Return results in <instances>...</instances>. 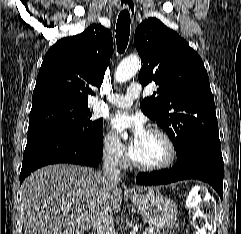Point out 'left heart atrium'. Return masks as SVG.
Returning <instances> with one entry per match:
<instances>
[{"label": "left heart atrium", "instance_id": "obj_1", "mask_svg": "<svg viewBox=\"0 0 241 234\" xmlns=\"http://www.w3.org/2000/svg\"><path fill=\"white\" fill-rule=\"evenodd\" d=\"M111 125L117 133L130 132L131 149L148 133L144 126V120L137 115L126 113L116 114L111 119Z\"/></svg>", "mask_w": 241, "mask_h": 234}]
</instances>
